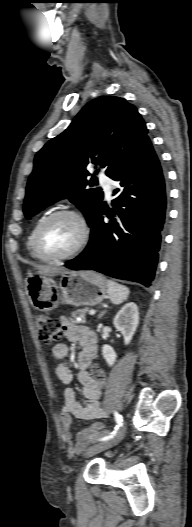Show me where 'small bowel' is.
Here are the masks:
<instances>
[{
    "instance_id": "c3829d8e",
    "label": "small bowel",
    "mask_w": 192,
    "mask_h": 527,
    "mask_svg": "<svg viewBox=\"0 0 192 527\" xmlns=\"http://www.w3.org/2000/svg\"><path fill=\"white\" fill-rule=\"evenodd\" d=\"M66 338L71 342H78L82 345V350L78 354V381L82 386V393L85 403L77 397L76 391L69 387L64 392V407L61 410V422L63 434L69 456L82 451L89 440L97 436L103 430L101 422H95L90 427L79 432L76 440L70 430L73 417L82 420H96L103 418L105 412L100 403V386L92 379L88 368L97 355V337L93 330L88 327L80 326L62 318ZM68 355V347L59 343L52 348V356L56 361L55 373L58 379L64 384L73 381V373L67 367L65 359Z\"/></svg>"
}]
</instances>
